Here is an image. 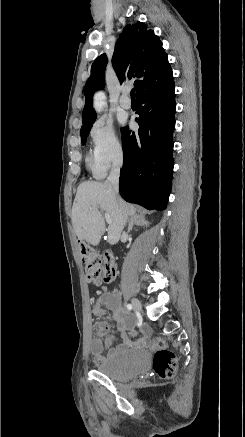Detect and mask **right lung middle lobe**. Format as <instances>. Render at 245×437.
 <instances>
[{"label":"right lung middle lobe","instance_id":"obj_1","mask_svg":"<svg viewBox=\"0 0 245 437\" xmlns=\"http://www.w3.org/2000/svg\"><path fill=\"white\" fill-rule=\"evenodd\" d=\"M92 125H93V122H91L90 124L85 125L81 128L80 135H81L82 144L86 143L87 136L89 134V131H90Z\"/></svg>","mask_w":245,"mask_h":437}]
</instances>
